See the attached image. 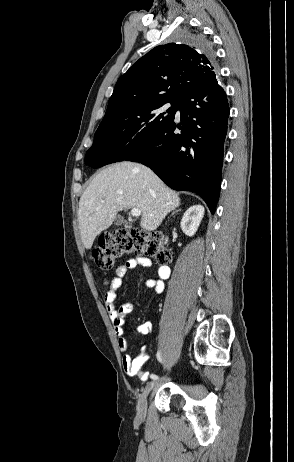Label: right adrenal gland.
<instances>
[{"label":"right adrenal gland","instance_id":"1","mask_svg":"<svg viewBox=\"0 0 294 462\" xmlns=\"http://www.w3.org/2000/svg\"><path fill=\"white\" fill-rule=\"evenodd\" d=\"M180 211H181V209H178V210L172 212L171 215H174V214H176V213H178V212H180Z\"/></svg>","mask_w":294,"mask_h":462}]
</instances>
